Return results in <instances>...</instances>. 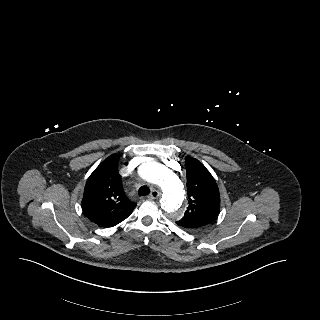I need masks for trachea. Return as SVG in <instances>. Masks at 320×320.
<instances>
[{"mask_svg": "<svg viewBox=\"0 0 320 320\" xmlns=\"http://www.w3.org/2000/svg\"><path fill=\"white\" fill-rule=\"evenodd\" d=\"M150 193V190L147 186H142L140 187V189L138 190V194L139 196H146Z\"/></svg>", "mask_w": 320, "mask_h": 320, "instance_id": "obj_1", "label": "trachea"}]
</instances>
